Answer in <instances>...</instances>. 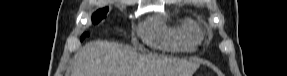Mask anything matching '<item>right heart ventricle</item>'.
Returning a JSON list of instances; mask_svg holds the SVG:
<instances>
[{"label":"right heart ventricle","mask_w":287,"mask_h":76,"mask_svg":"<svg viewBox=\"0 0 287 76\" xmlns=\"http://www.w3.org/2000/svg\"><path fill=\"white\" fill-rule=\"evenodd\" d=\"M143 40L153 46L193 50L201 39L199 27L189 18H181L171 27L166 24H149L141 30Z\"/></svg>","instance_id":"obj_1"}]
</instances>
